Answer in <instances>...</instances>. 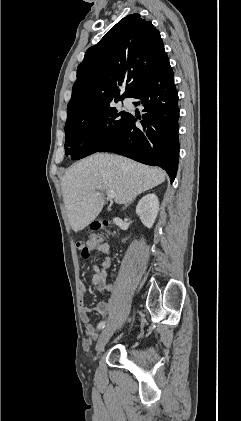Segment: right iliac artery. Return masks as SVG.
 <instances>
[{
	"instance_id": "82829eb1",
	"label": "right iliac artery",
	"mask_w": 241,
	"mask_h": 421,
	"mask_svg": "<svg viewBox=\"0 0 241 421\" xmlns=\"http://www.w3.org/2000/svg\"><path fill=\"white\" fill-rule=\"evenodd\" d=\"M105 325H106V322L105 321L100 322L98 324V329H103L105 327Z\"/></svg>"
}]
</instances>
